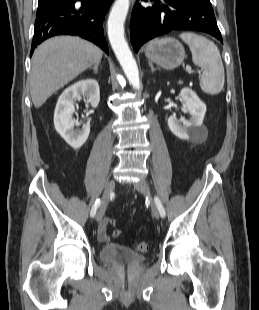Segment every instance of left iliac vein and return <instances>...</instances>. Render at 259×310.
Instances as JSON below:
<instances>
[{
  "mask_svg": "<svg viewBox=\"0 0 259 310\" xmlns=\"http://www.w3.org/2000/svg\"><path fill=\"white\" fill-rule=\"evenodd\" d=\"M134 187L138 192H140L142 194H148V186H147V183L145 180H140V181L136 182L134 184ZM151 211H152L153 216L156 219H159L160 213H159V210H158V208L154 202H152V204H151Z\"/></svg>",
  "mask_w": 259,
  "mask_h": 310,
  "instance_id": "left-iliac-vein-1",
  "label": "left iliac vein"
}]
</instances>
